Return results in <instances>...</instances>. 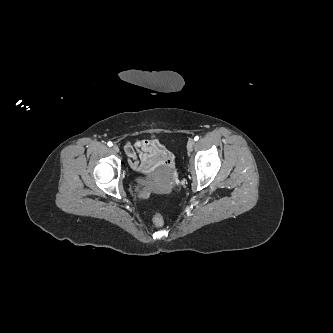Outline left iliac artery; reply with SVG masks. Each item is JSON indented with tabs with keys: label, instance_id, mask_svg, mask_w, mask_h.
I'll return each instance as SVG.
<instances>
[{
	"label": "left iliac artery",
	"instance_id": "left-iliac-artery-1",
	"mask_svg": "<svg viewBox=\"0 0 333 333\" xmlns=\"http://www.w3.org/2000/svg\"><path fill=\"white\" fill-rule=\"evenodd\" d=\"M194 140H195V141H198V140H199V137H198V136H195Z\"/></svg>",
	"mask_w": 333,
	"mask_h": 333
}]
</instances>
